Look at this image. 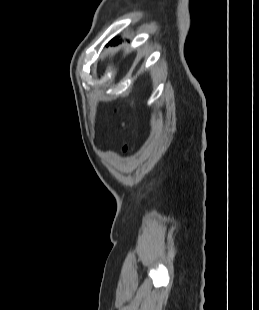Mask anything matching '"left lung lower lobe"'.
<instances>
[{"mask_svg": "<svg viewBox=\"0 0 259 310\" xmlns=\"http://www.w3.org/2000/svg\"><path fill=\"white\" fill-rule=\"evenodd\" d=\"M113 43H114V44L117 43V38H114V39L111 40V44H113Z\"/></svg>", "mask_w": 259, "mask_h": 310, "instance_id": "obj_1", "label": "left lung lower lobe"}]
</instances>
